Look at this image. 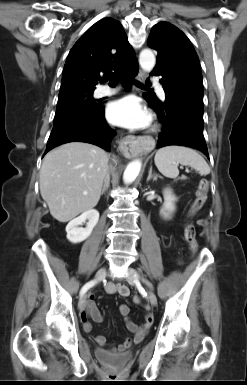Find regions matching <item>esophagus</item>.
Returning a JSON list of instances; mask_svg holds the SVG:
<instances>
[{
  "instance_id": "34e87169",
  "label": "esophagus",
  "mask_w": 247,
  "mask_h": 385,
  "mask_svg": "<svg viewBox=\"0 0 247 385\" xmlns=\"http://www.w3.org/2000/svg\"><path fill=\"white\" fill-rule=\"evenodd\" d=\"M137 79L144 81V72L139 70ZM119 149L126 157H133L137 150H141L140 141L134 136H128L120 140Z\"/></svg>"
}]
</instances>
